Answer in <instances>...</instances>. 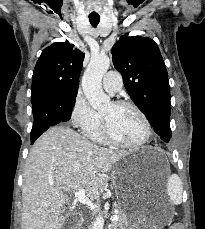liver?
Wrapping results in <instances>:
<instances>
[{"label":"liver","mask_w":205,"mask_h":229,"mask_svg":"<svg viewBox=\"0 0 205 229\" xmlns=\"http://www.w3.org/2000/svg\"><path fill=\"white\" fill-rule=\"evenodd\" d=\"M129 154L97 146L66 126L49 128L27 158L22 188V229H61L68 194L84 189L98 199L112 165Z\"/></svg>","instance_id":"liver-1"}]
</instances>
